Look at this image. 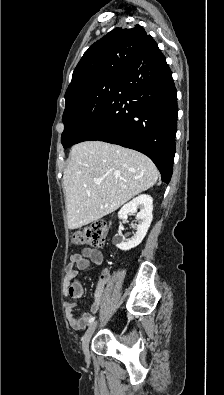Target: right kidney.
I'll return each mask as SVG.
<instances>
[{
    "mask_svg": "<svg viewBox=\"0 0 224 395\" xmlns=\"http://www.w3.org/2000/svg\"><path fill=\"white\" fill-rule=\"evenodd\" d=\"M138 208H140V212L137 213ZM152 211L153 199L147 194L139 195L122 207L118 213V218L127 219L128 214L137 213L136 219L139 221V224L133 225V228H136V232L130 240L125 241L120 234H116L114 236L113 242L117 248L123 251H128L135 248L142 242L153 218Z\"/></svg>",
    "mask_w": 224,
    "mask_h": 395,
    "instance_id": "obj_1",
    "label": "right kidney"
}]
</instances>
